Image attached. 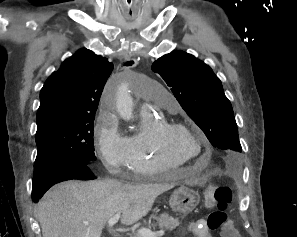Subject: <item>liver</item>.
Returning a JSON list of instances; mask_svg holds the SVG:
<instances>
[{"label": "liver", "mask_w": 297, "mask_h": 237, "mask_svg": "<svg viewBox=\"0 0 297 237\" xmlns=\"http://www.w3.org/2000/svg\"><path fill=\"white\" fill-rule=\"evenodd\" d=\"M169 184H122L114 180L67 181L48 191L37 205L43 237H100L106 222L122 213L131 225L151 210ZM88 221L89 225L83 224Z\"/></svg>", "instance_id": "liver-1"}]
</instances>
